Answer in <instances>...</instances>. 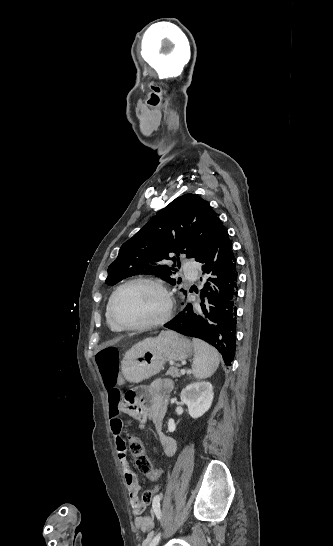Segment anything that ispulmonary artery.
<instances>
[{
    "label": "pulmonary artery",
    "mask_w": 333,
    "mask_h": 546,
    "mask_svg": "<svg viewBox=\"0 0 333 546\" xmlns=\"http://www.w3.org/2000/svg\"><path fill=\"white\" fill-rule=\"evenodd\" d=\"M185 270H186L188 275H193V273L191 272V263L190 262L185 263Z\"/></svg>",
    "instance_id": "1"
}]
</instances>
